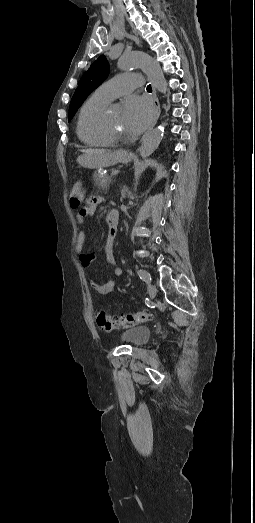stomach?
<instances>
[{"label": "stomach", "mask_w": 255, "mask_h": 523, "mask_svg": "<svg viewBox=\"0 0 255 523\" xmlns=\"http://www.w3.org/2000/svg\"><path fill=\"white\" fill-rule=\"evenodd\" d=\"M131 160L132 154L128 150H117L114 154H104V156H99L97 151H88L86 156L77 158L78 164L84 168H109L114 164H127Z\"/></svg>", "instance_id": "stomach-1"}]
</instances>
